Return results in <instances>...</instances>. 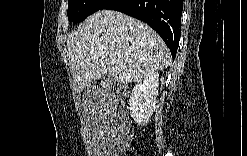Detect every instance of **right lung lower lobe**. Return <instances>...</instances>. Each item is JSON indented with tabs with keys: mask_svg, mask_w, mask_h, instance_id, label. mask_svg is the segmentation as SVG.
Instances as JSON below:
<instances>
[{
	"mask_svg": "<svg viewBox=\"0 0 247 156\" xmlns=\"http://www.w3.org/2000/svg\"><path fill=\"white\" fill-rule=\"evenodd\" d=\"M103 9L116 10L147 23L175 58L181 33L182 0H108L100 10Z\"/></svg>",
	"mask_w": 247,
	"mask_h": 156,
	"instance_id": "right-lung-lower-lobe-1",
	"label": "right lung lower lobe"
}]
</instances>
